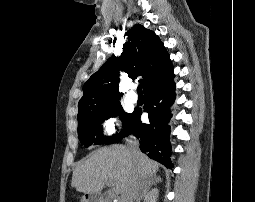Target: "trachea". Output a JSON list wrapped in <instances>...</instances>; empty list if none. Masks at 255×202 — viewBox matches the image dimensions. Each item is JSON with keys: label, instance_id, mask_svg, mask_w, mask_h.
<instances>
[{"label": "trachea", "instance_id": "obj_1", "mask_svg": "<svg viewBox=\"0 0 255 202\" xmlns=\"http://www.w3.org/2000/svg\"><path fill=\"white\" fill-rule=\"evenodd\" d=\"M137 92H138L139 95H142V94H143V92H142V85H139V86L137 87Z\"/></svg>", "mask_w": 255, "mask_h": 202}]
</instances>
